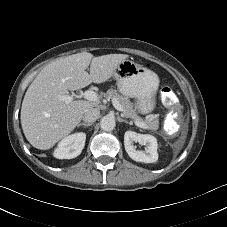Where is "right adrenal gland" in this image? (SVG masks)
<instances>
[{"mask_svg": "<svg viewBox=\"0 0 227 227\" xmlns=\"http://www.w3.org/2000/svg\"><path fill=\"white\" fill-rule=\"evenodd\" d=\"M92 124H88V123H79L78 125H77V127H79V126H86V127H88V126H91Z\"/></svg>", "mask_w": 227, "mask_h": 227, "instance_id": "2a0ac1e0", "label": "right adrenal gland"}]
</instances>
